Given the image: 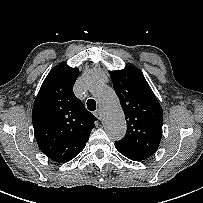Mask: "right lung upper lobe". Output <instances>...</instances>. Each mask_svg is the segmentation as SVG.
<instances>
[{
	"label": "right lung upper lobe",
	"instance_id": "obj_1",
	"mask_svg": "<svg viewBox=\"0 0 203 203\" xmlns=\"http://www.w3.org/2000/svg\"><path fill=\"white\" fill-rule=\"evenodd\" d=\"M78 75V68L55 66L44 80L32 109L39 149L56 162H67L83 150L97 120L73 93Z\"/></svg>",
	"mask_w": 203,
	"mask_h": 203
}]
</instances>
